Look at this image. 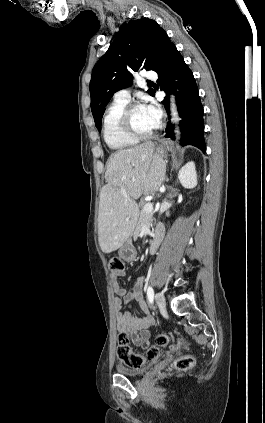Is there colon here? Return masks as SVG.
<instances>
[{"mask_svg":"<svg viewBox=\"0 0 265 423\" xmlns=\"http://www.w3.org/2000/svg\"><path fill=\"white\" fill-rule=\"evenodd\" d=\"M109 268L112 272L119 273L124 270V262L121 258L113 256L109 261ZM169 344L168 334H159L156 336L155 343L144 353H135L129 345V337L126 332H121L118 336L117 357L123 364L129 368H141L147 361L156 359L163 348ZM195 364V358L191 355L181 356L174 362V369L185 371Z\"/></svg>","mask_w":265,"mask_h":423,"instance_id":"5ec220e1","label":"colon"}]
</instances>
